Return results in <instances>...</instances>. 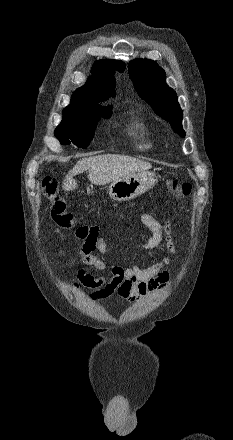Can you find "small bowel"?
Masks as SVG:
<instances>
[{
  "label": "small bowel",
  "instance_id": "1",
  "mask_svg": "<svg viewBox=\"0 0 233 440\" xmlns=\"http://www.w3.org/2000/svg\"><path fill=\"white\" fill-rule=\"evenodd\" d=\"M119 219H124L125 215L118 213ZM142 223L150 230L151 235L146 240L137 242L132 250L150 251L160 245L165 234L167 248L171 254L175 253V245L172 239L168 223L160 224L153 211L144 213L141 216ZM75 237L83 241L79 253L85 264L106 275L95 276L80 268L77 272V280L74 289L83 295L81 286L90 288L93 291L88 294V299L92 302L106 300L116 294L123 300L135 301L142 296L157 293L165 288L171 278L170 271L166 268L170 258H164L160 262L154 263L146 268L137 265L123 267L119 265H109L102 257L107 256V243L103 237L99 226H80ZM71 260V265L74 264Z\"/></svg>",
  "mask_w": 233,
  "mask_h": 440
}]
</instances>
